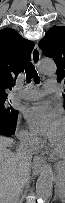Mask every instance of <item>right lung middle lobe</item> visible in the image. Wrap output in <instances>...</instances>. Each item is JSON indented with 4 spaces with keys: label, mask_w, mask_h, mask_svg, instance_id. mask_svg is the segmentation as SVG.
<instances>
[{
    "label": "right lung middle lobe",
    "mask_w": 65,
    "mask_h": 203,
    "mask_svg": "<svg viewBox=\"0 0 65 203\" xmlns=\"http://www.w3.org/2000/svg\"><path fill=\"white\" fill-rule=\"evenodd\" d=\"M0 121L2 122H16L17 111L6 103V98H0Z\"/></svg>",
    "instance_id": "dd1d6c3e"
}]
</instances>
